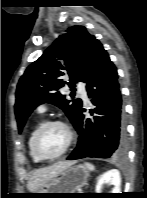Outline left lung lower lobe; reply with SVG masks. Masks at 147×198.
<instances>
[{
	"mask_svg": "<svg viewBox=\"0 0 147 198\" xmlns=\"http://www.w3.org/2000/svg\"><path fill=\"white\" fill-rule=\"evenodd\" d=\"M85 82L95 106L90 111L96 115L88 119L85 109H81L75 125L79 133L77 147L67 159L123 157L127 135L117 69L97 39L93 42Z\"/></svg>",
	"mask_w": 147,
	"mask_h": 198,
	"instance_id": "obj_1",
	"label": "left lung lower lobe"
}]
</instances>
